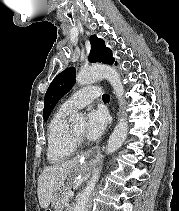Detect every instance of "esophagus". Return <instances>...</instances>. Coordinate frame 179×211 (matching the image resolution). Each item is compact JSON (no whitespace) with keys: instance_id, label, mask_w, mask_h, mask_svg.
Masks as SVG:
<instances>
[{"instance_id":"obj_1","label":"esophagus","mask_w":179,"mask_h":211,"mask_svg":"<svg viewBox=\"0 0 179 211\" xmlns=\"http://www.w3.org/2000/svg\"><path fill=\"white\" fill-rule=\"evenodd\" d=\"M102 155L98 151V147H89V151L85 154V159H89V163H100Z\"/></svg>"}]
</instances>
